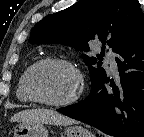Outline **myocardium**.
Instances as JSON below:
<instances>
[{"label":"myocardium","mask_w":144,"mask_h":137,"mask_svg":"<svg viewBox=\"0 0 144 137\" xmlns=\"http://www.w3.org/2000/svg\"><path fill=\"white\" fill-rule=\"evenodd\" d=\"M45 65L64 66L75 73L77 80H78V88H77L76 92L70 98L63 100V101H50V100L41 98L40 96H38L35 93L33 86H32L34 73L40 67L45 66ZM25 90H26L28 96L31 98V100L36 103L50 106V107H66V106H70V105L74 104L81 97V95L84 91V79H83V75H82L80 69L72 62L65 60V59H60V58H45V59H41V60L35 62L33 65L30 66V68L27 72V75H26Z\"/></svg>","instance_id":"myocardium-1"}]
</instances>
